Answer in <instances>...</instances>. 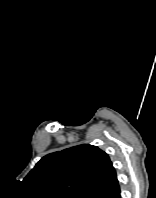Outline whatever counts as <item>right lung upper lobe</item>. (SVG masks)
Returning a JSON list of instances; mask_svg holds the SVG:
<instances>
[{
  "label": "right lung upper lobe",
  "mask_w": 156,
  "mask_h": 198,
  "mask_svg": "<svg viewBox=\"0 0 156 198\" xmlns=\"http://www.w3.org/2000/svg\"><path fill=\"white\" fill-rule=\"evenodd\" d=\"M24 181L43 198H117L120 194L109 156L86 144L44 156Z\"/></svg>",
  "instance_id": "1"
}]
</instances>
